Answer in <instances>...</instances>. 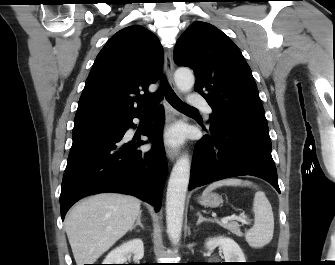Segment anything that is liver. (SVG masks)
Instances as JSON below:
<instances>
[{"instance_id": "6515ba94", "label": "liver", "mask_w": 335, "mask_h": 265, "mask_svg": "<svg viewBox=\"0 0 335 265\" xmlns=\"http://www.w3.org/2000/svg\"><path fill=\"white\" fill-rule=\"evenodd\" d=\"M139 199L116 193L90 196L68 213L65 231L77 265L93 264L123 237L141 213Z\"/></svg>"}]
</instances>
